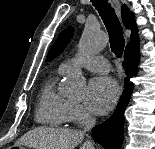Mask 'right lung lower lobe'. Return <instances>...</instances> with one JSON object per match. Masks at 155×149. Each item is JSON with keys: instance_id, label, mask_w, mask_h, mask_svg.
Instances as JSON below:
<instances>
[{"instance_id": "98d812e1", "label": "right lung lower lobe", "mask_w": 155, "mask_h": 149, "mask_svg": "<svg viewBox=\"0 0 155 149\" xmlns=\"http://www.w3.org/2000/svg\"><path fill=\"white\" fill-rule=\"evenodd\" d=\"M139 55L125 54L123 67L127 77L125 78V90L113 115L102 124L92 129V138L105 149H120L123 141L124 111L131 97L133 84L129 78L137 73Z\"/></svg>"}]
</instances>
